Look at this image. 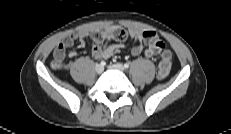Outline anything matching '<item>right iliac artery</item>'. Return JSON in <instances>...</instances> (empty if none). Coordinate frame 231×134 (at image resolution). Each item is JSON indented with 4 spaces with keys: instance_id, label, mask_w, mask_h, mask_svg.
<instances>
[{
    "instance_id": "right-iliac-artery-1",
    "label": "right iliac artery",
    "mask_w": 231,
    "mask_h": 134,
    "mask_svg": "<svg viewBox=\"0 0 231 134\" xmlns=\"http://www.w3.org/2000/svg\"><path fill=\"white\" fill-rule=\"evenodd\" d=\"M100 65L104 67L106 65V62L105 61H101Z\"/></svg>"
}]
</instances>
